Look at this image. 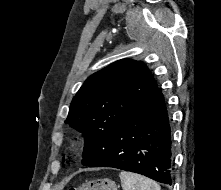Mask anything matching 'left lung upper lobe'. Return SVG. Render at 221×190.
Listing matches in <instances>:
<instances>
[{
  "label": "left lung upper lobe",
  "instance_id": "obj_1",
  "mask_svg": "<svg viewBox=\"0 0 221 190\" xmlns=\"http://www.w3.org/2000/svg\"><path fill=\"white\" fill-rule=\"evenodd\" d=\"M158 85L144 63L119 60L91 75L73 98L65 121L85 135L84 165L109 144L116 128L138 110Z\"/></svg>",
  "mask_w": 221,
  "mask_h": 190
}]
</instances>
